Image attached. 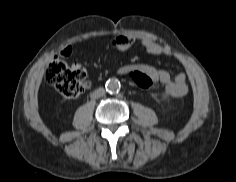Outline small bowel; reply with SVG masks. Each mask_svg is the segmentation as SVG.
<instances>
[{"instance_id":"obj_1","label":"small bowel","mask_w":236,"mask_h":182,"mask_svg":"<svg viewBox=\"0 0 236 182\" xmlns=\"http://www.w3.org/2000/svg\"><path fill=\"white\" fill-rule=\"evenodd\" d=\"M135 43V39L129 35H120L116 37L112 43L111 47L117 51H127L129 50ZM141 45L143 48L152 55L162 56V55H171L172 51L170 47L161 45L156 43L150 39H143L141 41ZM72 53V47L66 46L61 52L60 56L63 58H67ZM136 69H139L145 73H147L152 79L153 83H161L164 85V93L169 97H182L188 92V83H187V75L185 73H179L175 77L163 69H156L153 66L147 64H137L135 65ZM91 83L86 81L85 87L89 88Z\"/></svg>"}]
</instances>
